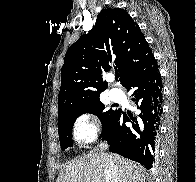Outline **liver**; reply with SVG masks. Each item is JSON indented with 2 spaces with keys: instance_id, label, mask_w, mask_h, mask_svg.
I'll return each mask as SVG.
<instances>
[{
  "instance_id": "1",
  "label": "liver",
  "mask_w": 196,
  "mask_h": 182,
  "mask_svg": "<svg viewBox=\"0 0 196 182\" xmlns=\"http://www.w3.org/2000/svg\"><path fill=\"white\" fill-rule=\"evenodd\" d=\"M113 162L118 182H145V169L117 154L89 153L61 169L56 182H105L104 163Z\"/></svg>"
}]
</instances>
